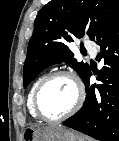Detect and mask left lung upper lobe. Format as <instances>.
<instances>
[{
	"instance_id": "obj_1",
	"label": "left lung upper lobe",
	"mask_w": 119,
	"mask_h": 141,
	"mask_svg": "<svg viewBox=\"0 0 119 141\" xmlns=\"http://www.w3.org/2000/svg\"><path fill=\"white\" fill-rule=\"evenodd\" d=\"M119 8V0H51L44 5L34 22L33 35L23 68L26 87L46 67L65 62L83 79L89 72L87 63L78 62L68 43L73 38L96 32Z\"/></svg>"
}]
</instances>
